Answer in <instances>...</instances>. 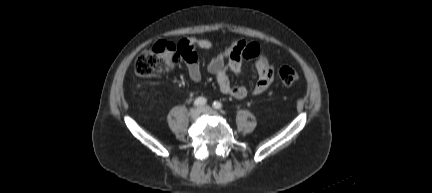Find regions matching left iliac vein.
Wrapping results in <instances>:
<instances>
[{
    "mask_svg": "<svg viewBox=\"0 0 432 193\" xmlns=\"http://www.w3.org/2000/svg\"><path fill=\"white\" fill-rule=\"evenodd\" d=\"M201 110H202V113L207 114V115H218V112L209 106H204V107H202Z\"/></svg>",
    "mask_w": 432,
    "mask_h": 193,
    "instance_id": "obj_1",
    "label": "left iliac vein"
}]
</instances>
